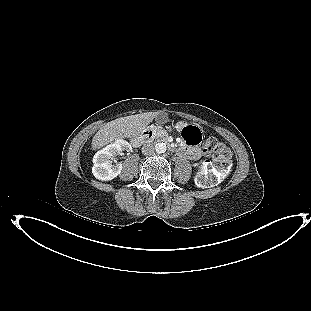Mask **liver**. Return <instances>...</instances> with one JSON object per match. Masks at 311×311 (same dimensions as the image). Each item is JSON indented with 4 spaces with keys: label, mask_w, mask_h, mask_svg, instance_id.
I'll list each match as a JSON object with an SVG mask.
<instances>
[{
    "label": "liver",
    "mask_w": 311,
    "mask_h": 311,
    "mask_svg": "<svg viewBox=\"0 0 311 311\" xmlns=\"http://www.w3.org/2000/svg\"><path fill=\"white\" fill-rule=\"evenodd\" d=\"M156 112H147L115 119L103 126L92 139V149L102 148L108 143L121 138H132L143 133Z\"/></svg>",
    "instance_id": "6515ba94"
}]
</instances>
